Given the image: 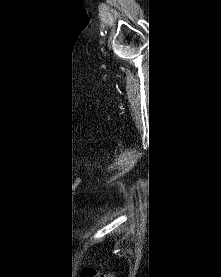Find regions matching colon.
I'll list each match as a JSON object with an SVG mask.
<instances>
[{
	"label": "colon",
	"instance_id": "obj_1",
	"mask_svg": "<svg viewBox=\"0 0 221 277\" xmlns=\"http://www.w3.org/2000/svg\"><path fill=\"white\" fill-rule=\"evenodd\" d=\"M80 277H115V276L109 273L107 274L98 273L93 269H85L81 272Z\"/></svg>",
	"mask_w": 221,
	"mask_h": 277
}]
</instances>
